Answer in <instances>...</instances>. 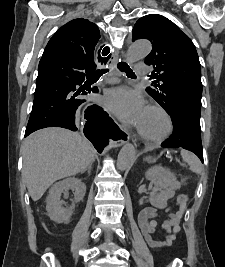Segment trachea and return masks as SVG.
Segmentation results:
<instances>
[{
	"label": "trachea",
	"mask_w": 225,
	"mask_h": 267,
	"mask_svg": "<svg viewBox=\"0 0 225 267\" xmlns=\"http://www.w3.org/2000/svg\"><path fill=\"white\" fill-rule=\"evenodd\" d=\"M118 68L120 71L122 72H126L127 76L129 77H135V74L134 72L132 71V69L128 66L127 63L125 62H120L118 64ZM108 72V69H101V70H97L95 71V74H99V75H102L104 73Z\"/></svg>",
	"instance_id": "obj_1"
}]
</instances>
